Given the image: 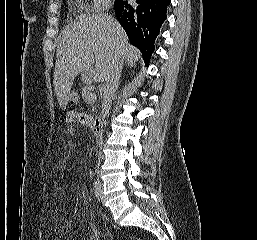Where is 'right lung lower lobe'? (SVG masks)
<instances>
[{
	"label": "right lung lower lobe",
	"mask_w": 257,
	"mask_h": 240,
	"mask_svg": "<svg viewBox=\"0 0 257 240\" xmlns=\"http://www.w3.org/2000/svg\"><path fill=\"white\" fill-rule=\"evenodd\" d=\"M171 0H115L114 10L129 40L142 52L148 64L154 51V41L166 19Z\"/></svg>",
	"instance_id": "obj_1"
}]
</instances>
